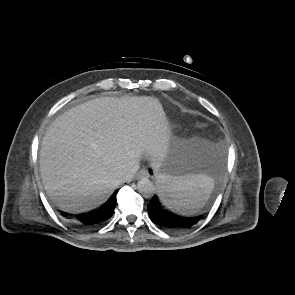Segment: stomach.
I'll list each match as a JSON object with an SVG mask.
<instances>
[{
  "mask_svg": "<svg viewBox=\"0 0 295 295\" xmlns=\"http://www.w3.org/2000/svg\"><path fill=\"white\" fill-rule=\"evenodd\" d=\"M210 146L202 141L188 140L171 147L157 168L155 174L170 177L208 174L207 154Z\"/></svg>",
  "mask_w": 295,
  "mask_h": 295,
  "instance_id": "1",
  "label": "stomach"
}]
</instances>
